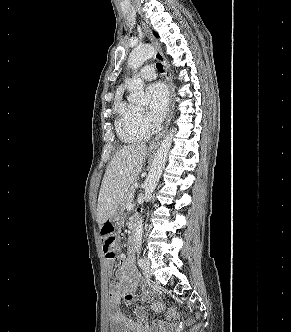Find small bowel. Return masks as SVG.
Instances as JSON below:
<instances>
[{"mask_svg":"<svg viewBox=\"0 0 291 332\" xmlns=\"http://www.w3.org/2000/svg\"><path fill=\"white\" fill-rule=\"evenodd\" d=\"M107 267L109 272L112 271L114 267L112 260L107 262ZM115 278L116 281L109 290L111 332H163L177 319L176 312L169 309L166 313V320H157L149 325L143 306L135 309L136 320L126 317L120 309L121 301H125L127 304L133 301L148 303L150 308L156 312L163 311L165 306L145 285L142 286V294L136 295L139 276L132 258L123 254L120 256Z\"/></svg>","mask_w":291,"mask_h":332,"instance_id":"obj_1","label":"small bowel"}]
</instances>
